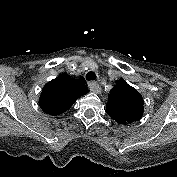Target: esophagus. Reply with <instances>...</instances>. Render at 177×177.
I'll use <instances>...</instances> for the list:
<instances>
[{
  "mask_svg": "<svg viewBox=\"0 0 177 177\" xmlns=\"http://www.w3.org/2000/svg\"><path fill=\"white\" fill-rule=\"evenodd\" d=\"M88 86H89L90 91L93 93L100 94L102 91L100 85L96 82H93V81L89 82Z\"/></svg>",
  "mask_w": 177,
  "mask_h": 177,
  "instance_id": "esophagus-1",
  "label": "esophagus"
}]
</instances>
